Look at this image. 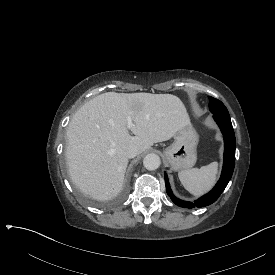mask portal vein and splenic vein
Segmentation results:
<instances>
[{"label": "portal vein and splenic vein", "mask_w": 275, "mask_h": 275, "mask_svg": "<svg viewBox=\"0 0 275 275\" xmlns=\"http://www.w3.org/2000/svg\"><path fill=\"white\" fill-rule=\"evenodd\" d=\"M132 127H134V124L132 122V117L129 115L127 116V128L131 129Z\"/></svg>", "instance_id": "obj_1"}]
</instances>
